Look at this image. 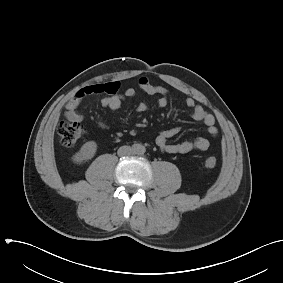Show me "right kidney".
Instances as JSON below:
<instances>
[{
  "label": "right kidney",
  "instance_id": "ca27d5eb",
  "mask_svg": "<svg viewBox=\"0 0 283 283\" xmlns=\"http://www.w3.org/2000/svg\"><path fill=\"white\" fill-rule=\"evenodd\" d=\"M97 150V144L94 141L86 142L80 149V151L74 156L73 160L76 163H81L91 159Z\"/></svg>",
  "mask_w": 283,
  "mask_h": 283
}]
</instances>
